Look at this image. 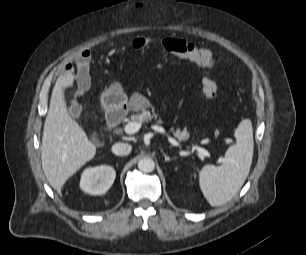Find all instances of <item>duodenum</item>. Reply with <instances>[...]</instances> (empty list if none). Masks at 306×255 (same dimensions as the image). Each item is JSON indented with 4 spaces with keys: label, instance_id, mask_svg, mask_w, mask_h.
<instances>
[{
    "label": "duodenum",
    "instance_id": "duodenum-1",
    "mask_svg": "<svg viewBox=\"0 0 306 255\" xmlns=\"http://www.w3.org/2000/svg\"><path fill=\"white\" fill-rule=\"evenodd\" d=\"M126 106L109 109L106 113V120L110 128H116L125 116Z\"/></svg>",
    "mask_w": 306,
    "mask_h": 255
}]
</instances>
